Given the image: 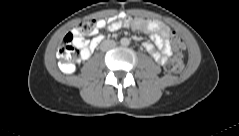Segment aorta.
Masks as SVG:
<instances>
[{
    "label": "aorta",
    "mask_w": 239,
    "mask_h": 136,
    "mask_svg": "<svg viewBox=\"0 0 239 136\" xmlns=\"http://www.w3.org/2000/svg\"><path fill=\"white\" fill-rule=\"evenodd\" d=\"M120 42L123 46H127L129 45L130 40L128 38H122Z\"/></svg>",
    "instance_id": "762f6f07"
}]
</instances>
